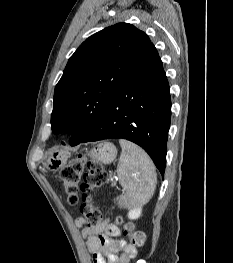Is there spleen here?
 Wrapping results in <instances>:
<instances>
[{"label":"spleen","mask_w":233,"mask_h":263,"mask_svg":"<svg viewBox=\"0 0 233 263\" xmlns=\"http://www.w3.org/2000/svg\"><path fill=\"white\" fill-rule=\"evenodd\" d=\"M122 148L117 174L123 187L119 197L120 207L141 206L146 204L154 194L157 175L152 160L136 144L119 140Z\"/></svg>","instance_id":"spleen-1"}]
</instances>
